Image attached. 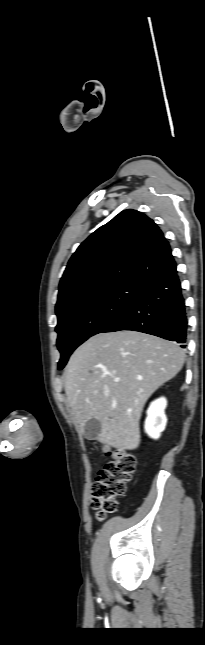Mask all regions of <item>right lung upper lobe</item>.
Here are the masks:
<instances>
[{
	"instance_id": "1",
	"label": "right lung upper lobe",
	"mask_w": 205,
	"mask_h": 645,
	"mask_svg": "<svg viewBox=\"0 0 205 645\" xmlns=\"http://www.w3.org/2000/svg\"><path fill=\"white\" fill-rule=\"evenodd\" d=\"M173 264L171 247L157 224L139 211H122L72 255L60 281L56 313L81 298L127 283L139 285Z\"/></svg>"
}]
</instances>
